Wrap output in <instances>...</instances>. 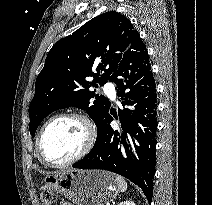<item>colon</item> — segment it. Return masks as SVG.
I'll list each match as a JSON object with an SVG mask.
<instances>
[{
	"instance_id": "1",
	"label": "colon",
	"mask_w": 212,
	"mask_h": 205,
	"mask_svg": "<svg viewBox=\"0 0 212 205\" xmlns=\"http://www.w3.org/2000/svg\"><path fill=\"white\" fill-rule=\"evenodd\" d=\"M55 193L52 188L45 186L40 191V202L42 205H52L55 202Z\"/></svg>"
}]
</instances>
